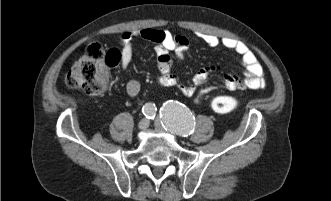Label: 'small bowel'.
Masks as SVG:
<instances>
[{
    "label": "small bowel",
    "mask_w": 331,
    "mask_h": 201,
    "mask_svg": "<svg viewBox=\"0 0 331 201\" xmlns=\"http://www.w3.org/2000/svg\"><path fill=\"white\" fill-rule=\"evenodd\" d=\"M198 37L210 47L224 46L236 52L241 64L245 68V77L226 74L223 77L222 86L227 90L236 89H260L266 84L264 70L249 47L241 41L232 38H219L212 34H198ZM137 40H146L156 44L155 51L158 56L160 75L157 79L161 86L176 87L185 96H193L199 89V99L213 90L215 87L206 85L211 67L200 69L194 76L190 84H183L172 71L171 52H175L179 57L188 49V39L179 34H173L167 30L144 28L139 30L124 32L120 37V65L123 69L128 68L133 55V44ZM141 85L139 81L131 79L126 84V92L130 97H136L140 93Z\"/></svg>",
    "instance_id": "small-bowel-1"
}]
</instances>
